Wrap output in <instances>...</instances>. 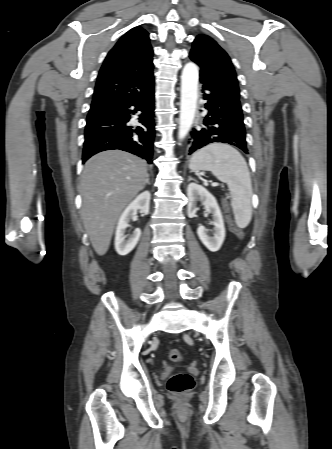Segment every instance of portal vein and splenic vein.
Returning <instances> with one entry per match:
<instances>
[{
	"label": "portal vein and splenic vein",
	"mask_w": 332,
	"mask_h": 449,
	"mask_svg": "<svg viewBox=\"0 0 332 449\" xmlns=\"http://www.w3.org/2000/svg\"><path fill=\"white\" fill-rule=\"evenodd\" d=\"M218 185V183H212V186H217Z\"/></svg>",
	"instance_id": "18ae733b"
}]
</instances>
